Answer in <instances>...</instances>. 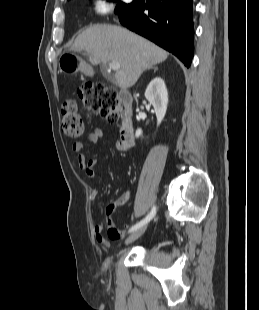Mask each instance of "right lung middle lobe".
I'll list each match as a JSON object with an SVG mask.
<instances>
[{
  "label": "right lung middle lobe",
  "instance_id": "1",
  "mask_svg": "<svg viewBox=\"0 0 259 310\" xmlns=\"http://www.w3.org/2000/svg\"><path fill=\"white\" fill-rule=\"evenodd\" d=\"M113 1H117V0H113ZM132 4H133V2L130 4L118 2L117 7L115 9V13H118V15H121L126 10H128L132 6Z\"/></svg>",
  "mask_w": 259,
  "mask_h": 310
}]
</instances>
